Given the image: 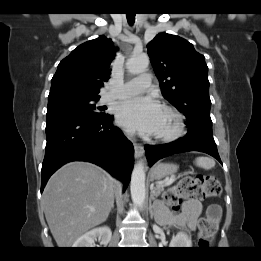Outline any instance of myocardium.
<instances>
[{
    "instance_id": "obj_1",
    "label": "myocardium",
    "mask_w": 261,
    "mask_h": 261,
    "mask_svg": "<svg viewBox=\"0 0 261 261\" xmlns=\"http://www.w3.org/2000/svg\"><path fill=\"white\" fill-rule=\"evenodd\" d=\"M165 113L173 120V129L164 134H157L156 139L161 142H174L181 138L186 130V123L184 116L177 110L168 108Z\"/></svg>"
}]
</instances>
